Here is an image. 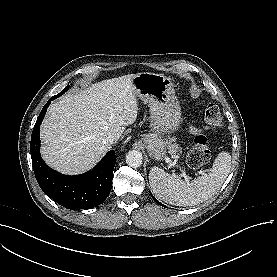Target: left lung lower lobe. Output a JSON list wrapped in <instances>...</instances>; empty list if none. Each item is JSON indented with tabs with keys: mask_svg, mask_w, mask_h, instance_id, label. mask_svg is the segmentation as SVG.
<instances>
[{
	"mask_svg": "<svg viewBox=\"0 0 277 277\" xmlns=\"http://www.w3.org/2000/svg\"><path fill=\"white\" fill-rule=\"evenodd\" d=\"M151 196H152V194H151ZM152 198L155 200V202L156 203H158L159 205H161V206H164L162 203H160L156 198H154V196H152Z\"/></svg>",
	"mask_w": 277,
	"mask_h": 277,
	"instance_id": "0a47b994",
	"label": "left lung lower lobe"
}]
</instances>
